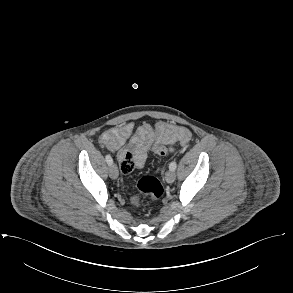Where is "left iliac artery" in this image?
I'll return each mask as SVG.
<instances>
[{
	"label": "left iliac artery",
	"mask_w": 293,
	"mask_h": 293,
	"mask_svg": "<svg viewBox=\"0 0 293 293\" xmlns=\"http://www.w3.org/2000/svg\"><path fill=\"white\" fill-rule=\"evenodd\" d=\"M176 167H177V163L176 161H172L169 165V169L172 170V171H175L176 170Z\"/></svg>",
	"instance_id": "obj_1"
}]
</instances>
